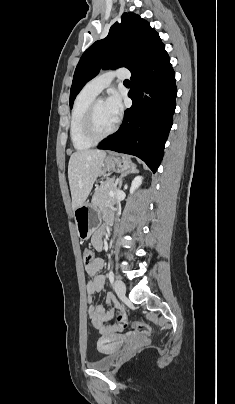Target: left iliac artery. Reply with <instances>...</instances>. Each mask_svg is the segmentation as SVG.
<instances>
[{
    "mask_svg": "<svg viewBox=\"0 0 235 404\" xmlns=\"http://www.w3.org/2000/svg\"><path fill=\"white\" fill-rule=\"evenodd\" d=\"M109 280H110V283L113 284V282H114V273H113L112 270H110V272H109Z\"/></svg>",
    "mask_w": 235,
    "mask_h": 404,
    "instance_id": "1",
    "label": "left iliac artery"
}]
</instances>
